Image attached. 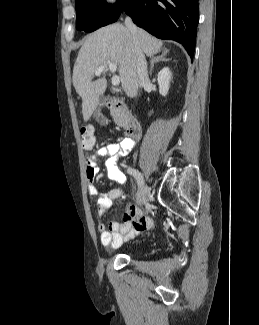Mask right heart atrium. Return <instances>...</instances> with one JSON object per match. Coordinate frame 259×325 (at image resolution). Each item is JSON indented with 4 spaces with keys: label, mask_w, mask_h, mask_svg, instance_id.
I'll use <instances>...</instances> for the list:
<instances>
[{
    "label": "right heart atrium",
    "mask_w": 259,
    "mask_h": 325,
    "mask_svg": "<svg viewBox=\"0 0 259 325\" xmlns=\"http://www.w3.org/2000/svg\"><path fill=\"white\" fill-rule=\"evenodd\" d=\"M119 0H101V3L106 7H114L118 4Z\"/></svg>",
    "instance_id": "right-heart-atrium-1"
}]
</instances>
